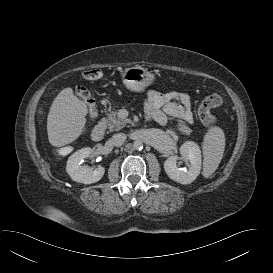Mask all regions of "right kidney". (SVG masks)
I'll return each instance as SVG.
<instances>
[{"instance_id":"ca27d5eb","label":"right kidney","mask_w":273,"mask_h":273,"mask_svg":"<svg viewBox=\"0 0 273 273\" xmlns=\"http://www.w3.org/2000/svg\"><path fill=\"white\" fill-rule=\"evenodd\" d=\"M92 155V149L90 147L82 148L73 153L67 161L66 171L76 182L83 184H92L99 181L104 173L103 167L96 169L90 168L89 166L82 165L84 159Z\"/></svg>"}]
</instances>
